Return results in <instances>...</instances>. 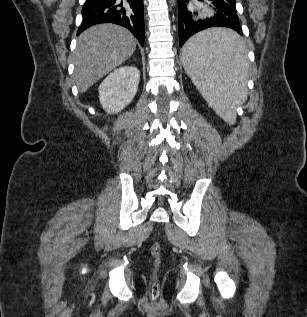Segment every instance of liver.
<instances>
[{
  "label": "liver",
  "mask_w": 307,
  "mask_h": 317,
  "mask_svg": "<svg viewBox=\"0 0 307 317\" xmlns=\"http://www.w3.org/2000/svg\"><path fill=\"white\" fill-rule=\"evenodd\" d=\"M136 49L135 37L114 24L95 25L78 37L74 51V78L81 93L129 59Z\"/></svg>",
  "instance_id": "liver-1"
}]
</instances>
